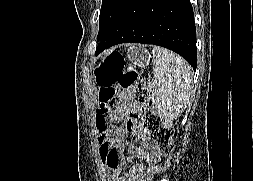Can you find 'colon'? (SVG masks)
Listing matches in <instances>:
<instances>
[{"label": "colon", "mask_w": 253, "mask_h": 181, "mask_svg": "<svg viewBox=\"0 0 253 181\" xmlns=\"http://www.w3.org/2000/svg\"><path fill=\"white\" fill-rule=\"evenodd\" d=\"M95 79L99 86L98 116H103L105 106L116 93L120 91L132 93L134 107L130 110V116L138 120L139 126L147 132L157 149V157L151 169L155 173L163 171L174 151L172 141L174 131L171 127L165 126L162 119L149 110V90L140 79L138 71L134 68L125 69L122 56L112 53L96 71Z\"/></svg>", "instance_id": "obj_1"}]
</instances>
